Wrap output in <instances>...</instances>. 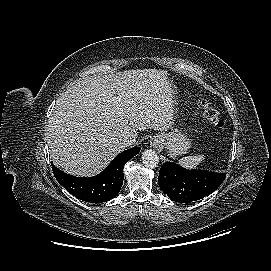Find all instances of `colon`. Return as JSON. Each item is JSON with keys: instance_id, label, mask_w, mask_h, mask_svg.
I'll return each instance as SVG.
<instances>
[{"instance_id": "1", "label": "colon", "mask_w": 271, "mask_h": 271, "mask_svg": "<svg viewBox=\"0 0 271 271\" xmlns=\"http://www.w3.org/2000/svg\"><path fill=\"white\" fill-rule=\"evenodd\" d=\"M198 107L202 110L205 120L215 129L221 130L224 128V121L219 117L217 111L212 108L204 99H197Z\"/></svg>"}]
</instances>
